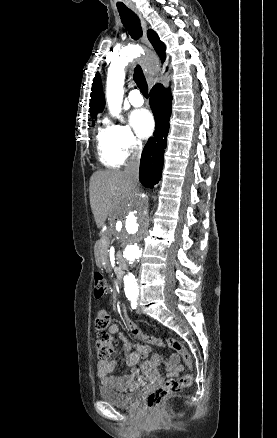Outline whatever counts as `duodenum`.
Listing matches in <instances>:
<instances>
[{"instance_id":"duodenum-1","label":"duodenum","mask_w":277,"mask_h":438,"mask_svg":"<svg viewBox=\"0 0 277 438\" xmlns=\"http://www.w3.org/2000/svg\"><path fill=\"white\" fill-rule=\"evenodd\" d=\"M116 261H117V265H118V268H119L120 272L126 269L127 264H126V261H125V259H124L122 254L118 253L116 255ZM120 272H119V275H118L119 284H120V279H121Z\"/></svg>"}]
</instances>
